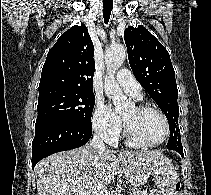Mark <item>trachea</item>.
Segmentation results:
<instances>
[{"mask_svg":"<svg viewBox=\"0 0 211 195\" xmlns=\"http://www.w3.org/2000/svg\"><path fill=\"white\" fill-rule=\"evenodd\" d=\"M112 8H113V2L111 0L110 1H104V3H103V17H104L105 24H108V22H109Z\"/></svg>","mask_w":211,"mask_h":195,"instance_id":"obj_1","label":"trachea"}]
</instances>
